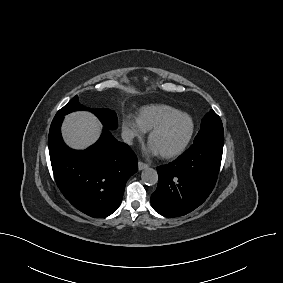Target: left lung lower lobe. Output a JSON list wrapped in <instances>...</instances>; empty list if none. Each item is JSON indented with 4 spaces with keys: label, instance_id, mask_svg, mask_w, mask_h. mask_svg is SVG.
I'll return each mask as SVG.
<instances>
[{
    "label": "left lung lower lobe",
    "instance_id": "left-lung-lower-lobe-1",
    "mask_svg": "<svg viewBox=\"0 0 283 283\" xmlns=\"http://www.w3.org/2000/svg\"><path fill=\"white\" fill-rule=\"evenodd\" d=\"M222 152L223 144L200 140L176 161L158 167V186L151 196L154 210L178 217L200 206L215 186Z\"/></svg>",
    "mask_w": 283,
    "mask_h": 283
}]
</instances>
